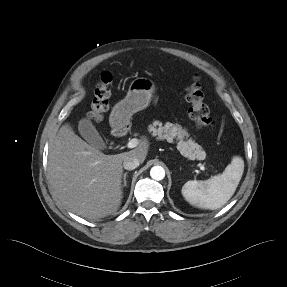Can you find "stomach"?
<instances>
[{
	"mask_svg": "<svg viewBox=\"0 0 287 287\" xmlns=\"http://www.w3.org/2000/svg\"><path fill=\"white\" fill-rule=\"evenodd\" d=\"M154 92L155 84L149 78L138 77L131 82L126 97L113 107L109 117L114 135L121 134L134 113L149 106Z\"/></svg>",
	"mask_w": 287,
	"mask_h": 287,
	"instance_id": "obj_1",
	"label": "stomach"
}]
</instances>
